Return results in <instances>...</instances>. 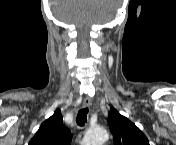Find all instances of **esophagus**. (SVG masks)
<instances>
[{
    "label": "esophagus",
    "instance_id": "1",
    "mask_svg": "<svg viewBox=\"0 0 176 145\" xmlns=\"http://www.w3.org/2000/svg\"><path fill=\"white\" fill-rule=\"evenodd\" d=\"M91 104H92V101H91L90 98H85V99L83 100V107H84V108L90 107Z\"/></svg>",
    "mask_w": 176,
    "mask_h": 145
}]
</instances>
